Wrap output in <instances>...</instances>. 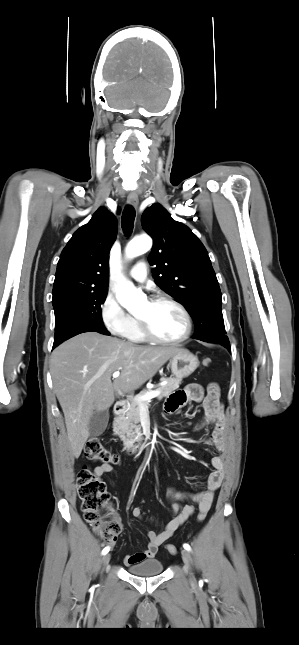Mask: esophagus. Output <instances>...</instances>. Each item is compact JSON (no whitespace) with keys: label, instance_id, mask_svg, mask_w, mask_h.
<instances>
[{"label":"esophagus","instance_id":"obj_1","mask_svg":"<svg viewBox=\"0 0 299 645\" xmlns=\"http://www.w3.org/2000/svg\"><path fill=\"white\" fill-rule=\"evenodd\" d=\"M127 203L131 206L137 207L139 203L138 196L136 194H129L127 197Z\"/></svg>","mask_w":299,"mask_h":645}]
</instances>
